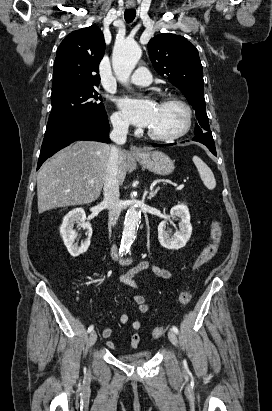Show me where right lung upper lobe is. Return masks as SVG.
<instances>
[{"label":"right lung upper lobe","mask_w":272,"mask_h":411,"mask_svg":"<svg viewBox=\"0 0 272 411\" xmlns=\"http://www.w3.org/2000/svg\"><path fill=\"white\" fill-rule=\"evenodd\" d=\"M104 52V36L96 26L67 35L57 50L51 97L68 90L97 87L100 82L99 64Z\"/></svg>","instance_id":"right-lung-upper-lobe-1"}]
</instances>
